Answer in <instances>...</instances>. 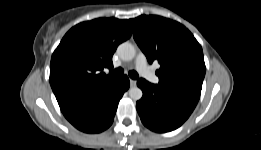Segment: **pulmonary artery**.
Listing matches in <instances>:
<instances>
[{"label":"pulmonary artery","mask_w":261,"mask_h":150,"mask_svg":"<svg viewBox=\"0 0 261 150\" xmlns=\"http://www.w3.org/2000/svg\"><path fill=\"white\" fill-rule=\"evenodd\" d=\"M135 66L138 72L147 80L152 83H158L159 78L155 75V73L149 68L147 65L146 56L143 53H138L135 59Z\"/></svg>","instance_id":"obj_1"}]
</instances>
